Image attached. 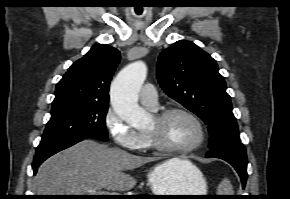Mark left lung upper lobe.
<instances>
[{"mask_svg":"<svg viewBox=\"0 0 290 199\" xmlns=\"http://www.w3.org/2000/svg\"><path fill=\"white\" fill-rule=\"evenodd\" d=\"M218 70L216 61L190 41L175 42L158 58L160 86L208 125L210 150L241 143L230 96Z\"/></svg>","mask_w":290,"mask_h":199,"instance_id":"1","label":"left lung upper lobe"}]
</instances>
